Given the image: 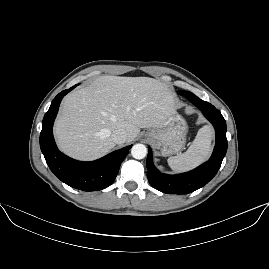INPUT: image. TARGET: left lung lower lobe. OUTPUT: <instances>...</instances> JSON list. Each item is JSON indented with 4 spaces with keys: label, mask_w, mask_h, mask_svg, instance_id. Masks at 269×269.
Segmentation results:
<instances>
[{
    "label": "left lung lower lobe",
    "mask_w": 269,
    "mask_h": 269,
    "mask_svg": "<svg viewBox=\"0 0 269 269\" xmlns=\"http://www.w3.org/2000/svg\"><path fill=\"white\" fill-rule=\"evenodd\" d=\"M213 124L216 131V145L211 158L198 168L183 174L160 173L153 164L152 150L147 156V178L157 190L167 194H188L207 184L218 172L227 151L226 122L219 110L208 102L197 99L193 103Z\"/></svg>",
    "instance_id": "0a47b994"
}]
</instances>
